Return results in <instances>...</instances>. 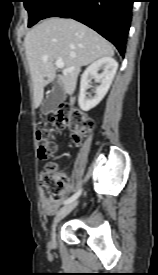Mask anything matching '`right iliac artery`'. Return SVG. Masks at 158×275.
<instances>
[{"mask_svg":"<svg viewBox=\"0 0 158 275\" xmlns=\"http://www.w3.org/2000/svg\"><path fill=\"white\" fill-rule=\"evenodd\" d=\"M80 194H81V190L77 191L73 196H71L70 198L65 200L64 204L66 205V204L73 202L74 200H76L79 197Z\"/></svg>","mask_w":158,"mask_h":275,"instance_id":"right-iliac-artery-1","label":"right iliac artery"}]
</instances>
